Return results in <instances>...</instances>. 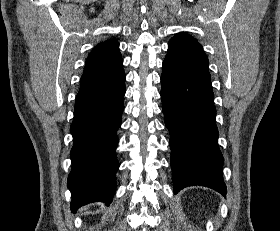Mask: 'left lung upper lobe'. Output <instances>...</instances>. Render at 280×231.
Returning <instances> with one entry per match:
<instances>
[{
    "label": "left lung upper lobe",
    "mask_w": 280,
    "mask_h": 231,
    "mask_svg": "<svg viewBox=\"0 0 280 231\" xmlns=\"http://www.w3.org/2000/svg\"><path fill=\"white\" fill-rule=\"evenodd\" d=\"M176 76H208V58L196 39L185 33L175 35L168 43L163 61Z\"/></svg>",
    "instance_id": "obj_1"
}]
</instances>
